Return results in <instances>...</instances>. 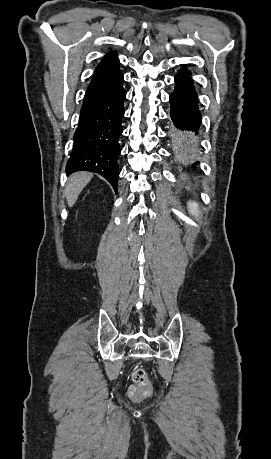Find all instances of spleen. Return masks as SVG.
<instances>
[{
  "label": "spleen",
  "mask_w": 271,
  "mask_h": 459,
  "mask_svg": "<svg viewBox=\"0 0 271 459\" xmlns=\"http://www.w3.org/2000/svg\"><path fill=\"white\" fill-rule=\"evenodd\" d=\"M188 212L191 216H198V208L194 202H188Z\"/></svg>",
  "instance_id": "spleen-1"
}]
</instances>
